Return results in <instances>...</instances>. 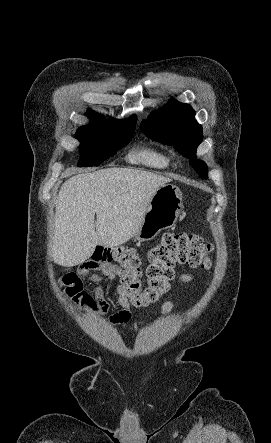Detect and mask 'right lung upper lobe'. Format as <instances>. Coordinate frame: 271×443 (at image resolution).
<instances>
[{
	"label": "right lung upper lobe",
	"instance_id": "1",
	"mask_svg": "<svg viewBox=\"0 0 271 443\" xmlns=\"http://www.w3.org/2000/svg\"><path fill=\"white\" fill-rule=\"evenodd\" d=\"M87 116L95 119H101V116L99 114H97L96 112L92 111L91 109L88 110L87 112ZM126 120H136V116H131L130 118L126 119Z\"/></svg>",
	"mask_w": 271,
	"mask_h": 443
}]
</instances>
